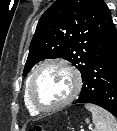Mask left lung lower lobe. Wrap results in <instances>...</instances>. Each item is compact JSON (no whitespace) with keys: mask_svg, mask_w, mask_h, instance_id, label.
Here are the masks:
<instances>
[{"mask_svg":"<svg viewBox=\"0 0 117 131\" xmlns=\"http://www.w3.org/2000/svg\"><path fill=\"white\" fill-rule=\"evenodd\" d=\"M82 82L79 98L73 104H96L117 117V32L113 22L106 45L89 65Z\"/></svg>","mask_w":117,"mask_h":131,"instance_id":"0a47b994","label":"left lung lower lobe"}]
</instances>
